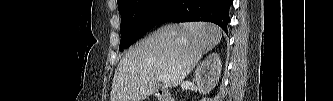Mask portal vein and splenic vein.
<instances>
[{"instance_id":"1","label":"portal vein and splenic vein","mask_w":333,"mask_h":101,"mask_svg":"<svg viewBox=\"0 0 333 101\" xmlns=\"http://www.w3.org/2000/svg\"><path fill=\"white\" fill-rule=\"evenodd\" d=\"M159 80L164 84V85H168L170 83V77H168L167 75H160L159 76Z\"/></svg>"}]
</instances>
